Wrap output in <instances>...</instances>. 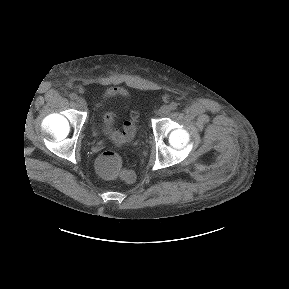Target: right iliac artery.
Segmentation results:
<instances>
[{
	"label": "right iliac artery",
	"instance_id": "82829eb1",
	"mask_svg": "<svg viewBox=\"0 0 289 289\" xmlns=\"http://www.w3.org/2000/svg\"><path fill=\"white\" fill-rule=\"evenodd\" d=\"M69 97H70V99H72V100L77 99V95H76L75 93H71V94L69 95Z\"/></svg>",
	"mask_w": 289,
	"mask_h": 289
}]
</instances>
